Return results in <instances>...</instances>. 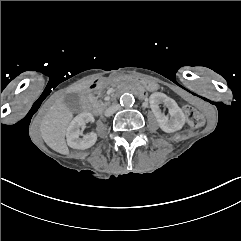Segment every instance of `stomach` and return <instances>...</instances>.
Instances as JSON below:
<instances>
[{
    "label": "stomach",
    "mask_w": 241,
    "mask_h": 241,
    "mask_svg": "<svg viewBox=\"0 0 241 241\" xmlns=\"http://www.w3.org/2000/svg\"><path fill=\"white\" fill-rule=\"evenodd\" d=\"M111 80L116 84H140L149 91H155L159 88L158 83H156L154 80L139 78L121 73H115Z\"/></svg>",
    "instance_id": "0dacf381"
}]
</instances>
